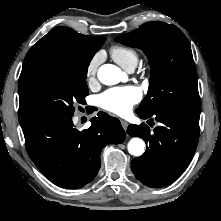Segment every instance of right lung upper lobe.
Returning <instances> with one entry per match:
<instances>
[{
    "instance_id": "obj_1",
    "label": "right lung upper lobe",
    "mask_w": 221,
    "mask_h": 221,
    "mask_svg": "<svg viewBox=\"0 0 221 221\" xmlns=\"http://www.w3.org/2000/svg\"><path fill=\"white\" fill-rule=\"evenodd\" d=\"M104 42V37L85 36L64 26L54 28L28 51L19 77V95L32 82L76 55L94 56Z\"/></svg>"
}]
</instances>
